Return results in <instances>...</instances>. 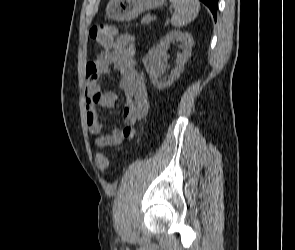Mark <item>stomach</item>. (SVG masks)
<instances>
[{
    "label": "stomach",
    "mask_w": 295,
    "mask_h": 250,
    "mask_svg": "<svg viewBox=\"0 0 295 250\" xmlns=\"http://www.w3.org/2000/svg\"><path fill=\"white\" fill-rule=\"evenodd\" d=\"M165 0H110L106 16L117 21H129L142 12L163 5Z\"/></svg>",
    "instance_id": "1"
}]
</instances>
